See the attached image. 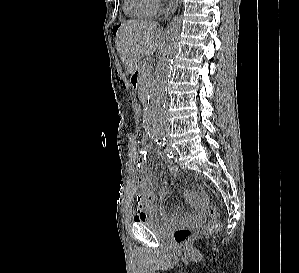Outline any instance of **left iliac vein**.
<instances>
[{
  "instance_id": "1",
  "label": "left iliac vein",
  "mask_w": 299,
  "mask_h": 273,
  "mask_svg": "<svg viewBox=\"0 0 299 273\" xmlns=\"http://www.w3.org/2000/svg\"><path fill=\"white\" fill-rule=\"evenodd\" d=\"M172 153L174 156H177V151L174 148L172 149Z\"/></svg>"
}]
</instances>
